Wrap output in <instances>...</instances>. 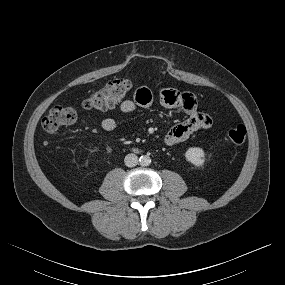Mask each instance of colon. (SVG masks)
Returning <instances> with one entry per match:
<instances>
[{
  "mask_svg": "<svg viewBox=\"0 0 285 285\" xmlns=\"http://www.w3.org/2000/svg\"><path fill=\"white\" fill-rule=\"evenodd\" d=\"M132 88L131 80L119 78L109 82L102 89L93 92L83 102L86 109L106 110L120 103ZM79 118L76 106L56 105L42 119V127L47 132H55L63 126L74 124ZM246 128L237 125L229 130L228 138L234 144H242L246 138Z\"/></svg>",
  "mask_w": 285,
  "mask_h": 285,
  "instance_id": "obj_1",
  "label": "colon"
}]
</instances>
